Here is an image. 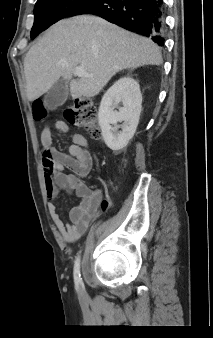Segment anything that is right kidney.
Instances as JSON below:
<instances>
[{"label":"right kidney","instance_id":"ca27d5eb","mask_svg":"<svg viewBox=\"0 0 213 338\" xmlns=\"http://www.w3.org/2000/svg\"><path fill=\"white\" fill-rule=\"evenodd\" d=\"M122 103L119 111L115 108ZM142 95L140 86L131 77L116 81L102 97L98 120L105 144L112 150L124 148L136 132L141 113ZM123 122L122 131L112 127Z\"/></svg>","mask_w":213,"mask_h":338}]
</instances>
